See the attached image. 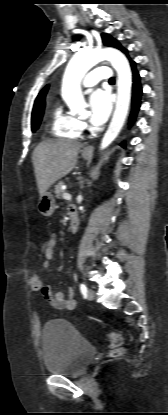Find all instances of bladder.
<instances>
[{"instance_id": "31cf9c89", "label": "bladder", "mask_w": 168, "mask_h": 415, "mask_svg": "<svg viewBox=\"0 0 168 415\" xmlns=\"http://www.w3.org/2000/svg\"><path fill=\"white\" fill-rule=\"evenodd\" d=\"M42 353L47 372L77 377L94 360L96 349L71 323L52 319L42 330Z\"/></svg>"}]
</instances>
